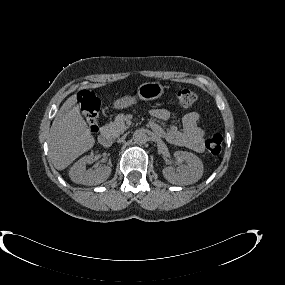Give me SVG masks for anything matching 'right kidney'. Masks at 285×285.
Listing matches in <instances>:
<instances>
[{
    "label": "right kidney",
    "instance_id": "ca27d5eb",
    "mask_svg": "<svg viewBox=\"0 0 285 285\" xmlns=\"http://www.w3.org/2000/svg\"><path fill=\"white\" fill-rule=\"evenodd\" d=\"M94 161V156L87 155L79 159L70 169V179L83 185H97L105 180L111 174V168L109 166H101L96 169H86L87 164H91Z\"/></svg>",
    "mask_w": 285,
    "mask_h": 285
}]
</instances>
